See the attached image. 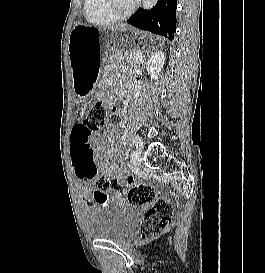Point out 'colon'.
Wrapping results in <instances>:
<instances>
[{
    "label": "colon",
    "mask_w": 265,
    "mask_h": 273,
    "mask_svg": "<svg viewBox=\"0 0 265 273\" xmlns=\"http://www.w3.org/2000/svg\"><path fill=\"white\" fill-rule=\"evenodd\" d=\"M83 112V109H80ZM82 116V113H79ZM121 116L116 112H109L101 102L94 103L87 111L85 125L89 134L95 139L101 138L109 130L119 126ZM80 124V121H77ZM92 151V149H91ZM98 190H111L125 194L133 205H145L153 202L142 221L140 234L143 239H154L165 232L173 222V204L162 198H155L153 188L145 183H134L126 188L116 178L103 176L97 182ZM106 205V204H99Z\"/></svg>",
    "instance_id": "colon-1"
}]
</instances>
